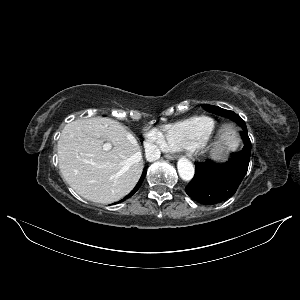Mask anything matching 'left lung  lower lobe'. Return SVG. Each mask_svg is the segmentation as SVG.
I'll return each instance as SVG.
<instances>
[{
	"instance_id": "left-lung-lower-lobe-1",
	"label": "left lung lower lobe",
	"mask_w": 300,
	"mask_h": 300,
	"mask_svg": "<svg viewBox=\"0 0 300 300\" xmlns=\"http://www.w3.org/2000/svg\"><path fill=\"white\" fill-rule=\"evenodd\" d=\"M244 148L232 153L225 163L211 160L195 163V175L186 186V193L203 205H215L233 196L247 173L251 142L247 131L241 132Z\"/></svg>"
}]
</instances>
